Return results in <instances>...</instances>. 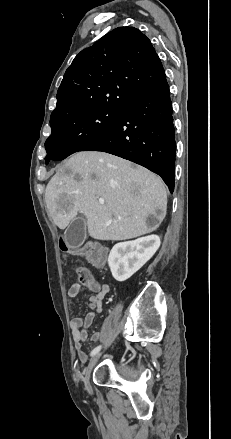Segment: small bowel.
Masks as SVG:
<instances>
[{
    "instance_id": "c3829d8e",
    "label": "small bowel",
    "mask_w": 231,
    "mask_h": 439,
    "mask_svg": "<svg viewBox=\"0 0 231 439\" xmlns=\"http://www.w3.org/2000/svg\"><path fill=\"white\" fill-rule=\"evenodd\" d=\"M82 287L87 288L93 294L89 297V307L91 311L84 317H75L70 322L72 330V336L74 341V347L77 352L78 358L81 362L87 360V354L83 350V343L88 340V332L91 328L96 316L102 312V301L104 297L110 291L107 284H102L99 280L92 275L86 283H74L67 291V301L72 302L80 293ZM101 332H95L91 335L90 339L96 341L100 338Z\"/></svg>"
}]
</instances>
